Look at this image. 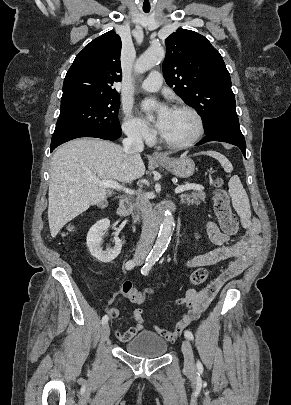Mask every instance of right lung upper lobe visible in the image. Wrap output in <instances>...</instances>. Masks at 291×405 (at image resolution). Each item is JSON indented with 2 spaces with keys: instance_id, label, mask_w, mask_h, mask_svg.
Returning a JSON list of instances; mask_svg holds the SVG:
<instances>
[{
  "instance_id": "obj_1",
  "label": "right lung upper lobe",
  "mask_w": 291,
  "mask_h": 405,
  "mask_svg": "<svg viewBox=\"0 0 291 405\" xmlns=\"http://www.w3.org/2000/svg\"><path fill=\"white\" fill-rule=\"evenodd\" d=\"M121 39L109 31L91 41L74 59L63 84L62 101L119 96Z\"/></svg>"
}]
</instances>
